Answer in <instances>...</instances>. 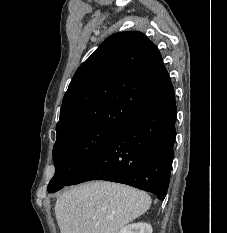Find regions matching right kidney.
Returning <instances> with one entry per match:
<instances>
[{"label":"right kidney","instance_id":"obj_1","mask_svg":"<svg viewBox=\"0 0 227 233\" xmlns=\"http://www.w3.org/2000/svg\"><path fill=\"white\" fill-rule=\"evenodd\" d=\"M119 233H152V226L143 222L133 223L122 228Z\"/></svg>","mask_w":227,"mask_h":233}]
</instances>
